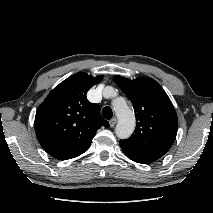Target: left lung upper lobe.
<instances>
[{"label":"left lung upper lobe","instance_id":"1","mask_svg":"<svg viewBox=\"0 0 213 213\" xmlns=\"http://www.w3.org/2000/svg\"><path fill=\"white\" fill-rule=\"evenodd\" d=\"M114 81L133 104L135 133L120 145L134 152L159 159L171 148L178 130L176 111L164 91L153 79L129 80L114 76Z\"/></svg>","mask_w":213,"mask_h":213}]
</instances>
